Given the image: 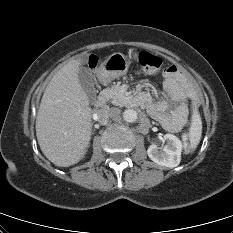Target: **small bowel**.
<instances>
[{
	"label": "small bowel",
	"mask_w": 233,
	"mask_h": 233,
	"mask_svg": "<svg viewBox=\"0 0 233 233\" xmlns=\"http://www.w3.org/2000/svg\"><path fill=\"white\" fill-rule=\"evenodd\" d=\"M163 88L178 106L170 113L167 112L168 104L165 100L154 102L149 94L142 93L139 97L147 106L150 115L159 121L169 131L182 129L188 120L187 101L196 103L198 96L195 87L186 72L172 65L163 73Z\"/></svg>",
	"instance_id": "obj_1"
}]
</instances>
